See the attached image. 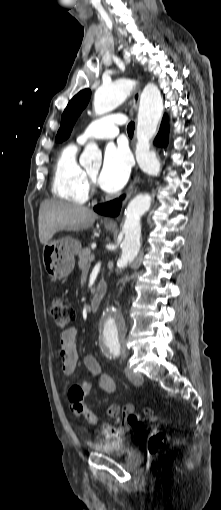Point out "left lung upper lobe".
<instances>
[{
  "label": "left lung upper lobe",
  "instance_id": "left-lung-upper-lobe-1",
  "mask_svg": "<svg viewBox=\"0 0 221 510\" xmlns=\"http://www.w3.org/2000/svg\"><path fill=\"white\" fill-rule=\"evenodd\" d=\"M90 95L91 91L84 89L70 100L61 117V126L56 136L57 142H62L70 136L78 116L89 102Z\"/></svg>",
  "mask_w": 221,
  "mask_h": 510
}]
</instances>
